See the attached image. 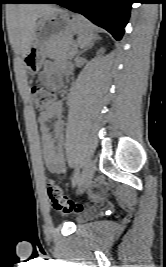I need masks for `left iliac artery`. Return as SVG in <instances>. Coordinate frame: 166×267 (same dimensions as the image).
Listing matches in <instances>:
<instances>
[{
	"label": "left iliac artery",
	"mask_w": 166,
	"mask_h": 267,
	"mask_svg": "<svg viewBox=\"0 0 166 267\" xmlns=\"http://www.w3.org/2000/svg\"><path fill=\"white\" fill-rule=\"evenodd\" d=\"M80 180V171L79 168L75 169L73 179H72V186H75Z\"/></svg>",
	"instance_id": "44dca946"
}]
</instances>
